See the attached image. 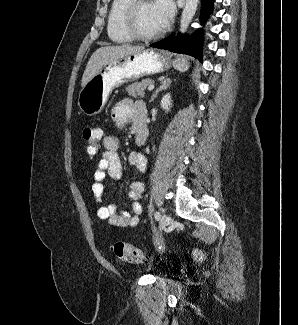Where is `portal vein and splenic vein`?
Listing matches in <instances>:
<instances>
[{"label":"portal vein and splenic vein","mask_w":298,"mask_h":325,"mask_svg":"<svg viewBox=\"0 0 298 325\" xmlns=\"http://www.w3.org/2000/svg\"><path fill=\"white\" fill-rule=\"evenodd\" d=\"M155 88V84H148L147 90H153Z\"/></svg>","instance_id":"1"}]
</instances>
